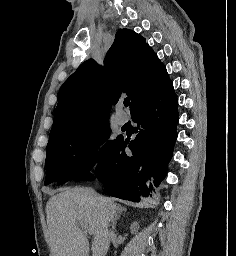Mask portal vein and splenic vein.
Listing matches in <instances>:
<instances>
[{
  "label": "portal vein and splenic vein",
  "mask_w": 236,
  "mask_h": 256,
  "mask_svg": "<svg viewBox=\"0 0 236 256\" xmlns=\"http://www.w3.org/2000/svg\"><path fill=\"white\" fill-rule=\"evenodd\" d=\"M79 226H81V228H83L84 232L83 234H90L89 230V226H87V224H83V222H80Z\"/></svg>",
  "instance_id": "portal-vein-and-splenic-vein-1"
}]
</instances>
